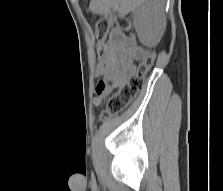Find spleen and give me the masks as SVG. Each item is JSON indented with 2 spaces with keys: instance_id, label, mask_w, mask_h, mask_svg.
<instances>
[{
  "instance_id": "spleen-1",
  "label": "spleen",
  "mask_w": 223,
  "mask_h": 191,
  "mask_svg": "<svg viewBox=\"0 0 223 191\" xmlns=\"http://www.w3.org/2000/svg\"><path fill=\"white\" fill-rule=\"evenodd\" d=\"M130 1L131 0H93L91 7L95 13L99 14H106L111 7H114L119 13H126L132 9V6L119 7V4Z\"/></svg>"
}]
</instances>
